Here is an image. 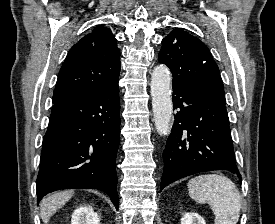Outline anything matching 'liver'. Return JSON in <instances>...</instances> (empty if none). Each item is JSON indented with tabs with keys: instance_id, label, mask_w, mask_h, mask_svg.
<instances>
[{
	"instance_id": "6515ba94",
	"label": "liver",
	"mask_w": 275,
	"mask_h": 224,
	"mask_svg": "<svg viewBox=\"0 0 275 224\" xmlns=\"http://www.w3.org/2000/svg\"><path fill=\"white\" fill-rule=\"evenodd\" d=\"M74 195L73 190L57 192L45 197L41 203V219L47 224L50 218Z\"/></svg>"
}]
</instances>
